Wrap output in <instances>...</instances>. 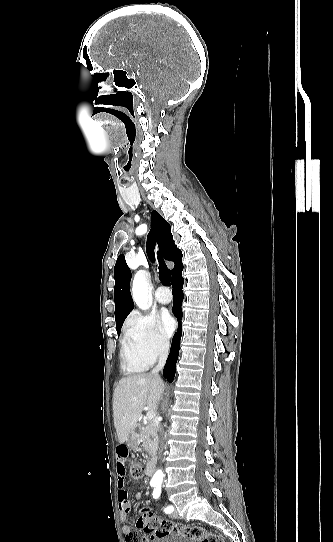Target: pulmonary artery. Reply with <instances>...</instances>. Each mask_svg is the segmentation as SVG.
<instances>
[{
  "mask_svg": "<svg viewBox=\"0 0 333 542\" xmlns=\"http://www.w3.org/2000/svg\"><path fill=\"white\" fill-rule=\"evenodd\" d=\"M158 294H157V301L160 303V304H163V305H167L171 302V296H170V291L167 289V286L166 285H159L158 286Z\"/></svg>",
  "mask_w": 333,
  "mask_h": 542,
  "instance_id": "1",
  "label": "pulmonary artery"
}]
</instances>
